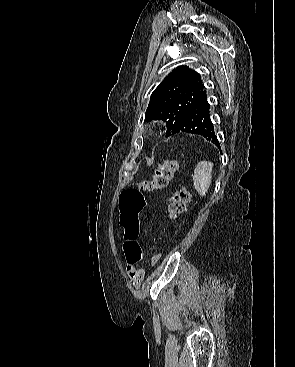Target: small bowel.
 <instances>
[{"label":"small bowel","instance_id":"obj_1","mask_svg":"<svg viewBox=\"0 0 295 367\" xmlns=\"http://www.w3.org/2000/svg\"><path fill=\"white\" fill-rule=\"evenodd\" d=\"M126 273L134 288L138 289L144 279V270L137 268L136 263H130L126 260Z\"/></svg>","mask_w":295,"mask_h":367}]
</instances>
